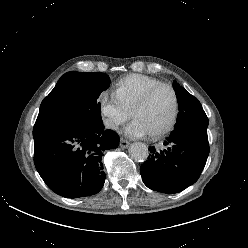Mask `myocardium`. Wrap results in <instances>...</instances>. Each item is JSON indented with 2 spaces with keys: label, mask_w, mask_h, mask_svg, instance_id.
Here are the masks:
<instances>
[{
  "label": "myocardium",
  "mask_w": 248,
  "mask_h": 248,
  "mask_svg": "<svg viewBox=\"0 0 248 248\" xmlns=\"http://www.w3.org/2000/svg\"><path fill=\"white\" fill-rule=\"evenodd\" d=\"M161 88H168L171 90L174 98V106H173V112L171 118L168 121V123L160 130L150 134V136L153 138L160 137L170 132L177 122V118L179 114V95L176 89L171 84L168 83H160L156 86H153L142 95V97L133 105V107L130 110V116L133 118L134 113L139 109L143 108L149 102L153 94Z\"/></svg>",
  "instance_id": "1"
}]
</instances>
